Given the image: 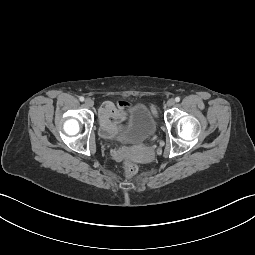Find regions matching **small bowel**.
<instances>
[{"label": "small bowel", "instance_id": "c3829d8e", "mask_svg": "<svg viewBox=\"0 0 255 255\" xmlns=\"http://www.w3.org/2000/svg\"><path fill=\"white\" fill-rule=\"evenodd\" d=\"M129 104L119 101L117 104L106 101L99 109V121L104 133H110L126 121V109Z\"/></svg>", "mask_w": 255, "mask_h": 255}]
</instances>
